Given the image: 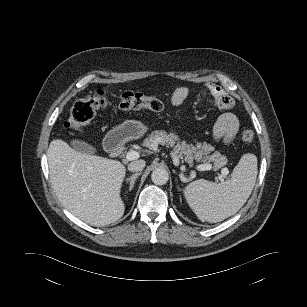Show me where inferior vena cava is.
Here are the masks:
<instances>
[{
  "instance_id": "1",
  "label": "inferior vena cava",
  "mask_w": 307,
  "mask_h": 307,
  "mask_svg": "<svg viewBox=\"0 0 307 307\" xmlns=\"http://www.w3.org/2000/svg\"><path fill=\"white\" fill-rule=\"evenodd\" d=\"M146 162L144 160H136L128 164V170L132 172H140L144 169Z\"/></svg>"
}]
</instances>
